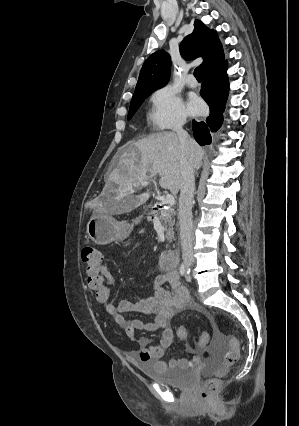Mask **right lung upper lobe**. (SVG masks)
I'll list each match as a JSON object with an SVG mask.
<instances>
[{"mask_svg": "<svg viewBox=\"0 0 299 426\" xmlns=\"http://www.w3.org/2000/svg\"><path fill=\"white\" fill-rule=\"evenodd\" d=\"M184 59L203 57V73L224 61L222 45L215 31L209 30L200 20H195L194 30L180 44ZM171 58L164 50L151 54L142 66L134 94L153 92L169 80Z\"/></svg>", "mask_w": 299, "mask_h": 426, "instance_id": "right-lung-upper-lobe-1", "label": "right lung upper lobe"}]
</instances>
